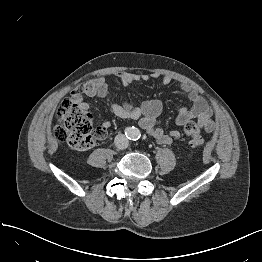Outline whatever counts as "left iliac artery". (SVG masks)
Returning <instances> with one entry per match:
<instances>
[{
  "label": "left iliac artery",
  "mask_w": 262,
  "mask_h": 262,
  "mask_svg": "<svg viewBox=\"0 0 262 262\" xmlns=\"http://www.w3.org/2000/svg\"><path fill=\"white\" fill-rule=\"evenodd\" d=\"M139 138H140V136H139V133L137 132L136 135H135V137H134V139H135V140H138Z\"/></svg>",
  "instance_id": "44dca946"
}]
</instances>
